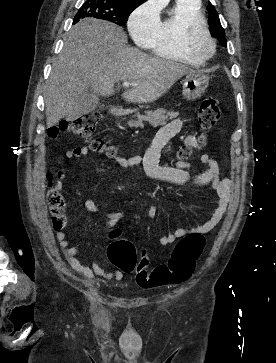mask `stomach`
<instances>
[{
    "label": "stomach",
    "mask_w": 276,
    "mask_h": 363,
    "mask_svg": "<svg viewBox=\"0 0 276 363\" xmlns=\"http://www.w3.org/2000/svg\"><path fill=\"white\" fill-rule=\"evenodd\" d=\"M209 83V77L200 72H190L183 80V98L194 101L203 96Z\"/></svg>",
    "instance_id": "0dacf381"
}]
</instances>
